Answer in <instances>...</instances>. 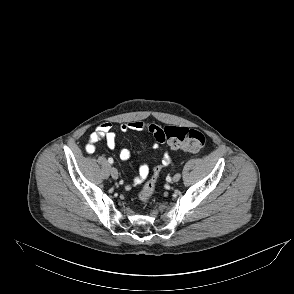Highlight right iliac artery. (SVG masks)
<instances>
[{
  "mask_svg": "<svg viewBox=\"0 0 294 294\" xmlns=\"http://www.w3.org/2000/svg\"><path fill=\"white\" fill-rule=\"evenodd\" d=\"M108 162H109L110 164H113V159H112V158H109V159H108Z\"/></svg>",
  "mask_w": 294,
  "mask_h": 294,
  "instance_id": "1",
  "label": "right iliac artery"
}]
</instances>
